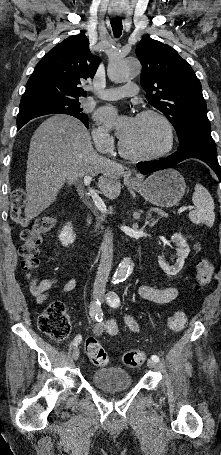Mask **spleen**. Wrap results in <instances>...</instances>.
Here are the masks:
<instances>
[{"mask_svg": "<svg viewBox=\"0 0 221 455\" xmlns=\"http://www.w3.org/2000/svg\"><path fill=\"white\" fill-rule=\"evenodd\" d=\"M192 201L195 209L189 212V219L194 224H206L212 227L215 220L214 200L209 191L197 183L194 188Z\"/></svg>", "mask_w": 221, "mask_h": 455, "instance_id": "obj_1", "label": "spleen"}]
</instances>
